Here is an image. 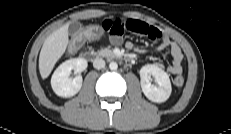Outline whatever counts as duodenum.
Returning <instances> with one entry per match:
<instances>
[{
    "label": "duodenum",
    "mask_w": 231,
    "mask_h": 134,
    "mask_svg": "<svg viewBox=\"0 0 231 134\" xmlns=\"http://www.w3.org/2000/svg\"><path fill=\"white\" fill-rule=\"evenodd\" d=\"M109 56L111 58H113V59L123 60L127 64L131 63V58L129 56H126V55H123V54H120V53H110ZM82 57L85 58V59H92L93 58V56L88 52H84L82 54Z\"/></svg>",
    "instance_id": "1"
}]
</instances>
